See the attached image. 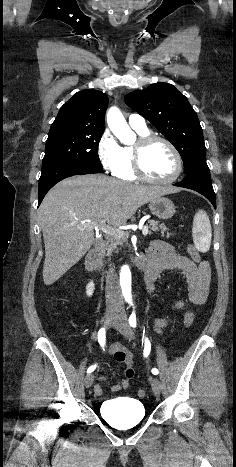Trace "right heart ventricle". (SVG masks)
<instances>
[{
	"label": "right heart ventricle",
	"mask_w": 236,
	"mask_h": 467,
	"mask_svg": "<svg viewBox=\"0 0 236 467\" xmlns=\"http://www.w3.org/2000/svg\"><path fill=\"white\" fill-rule=\"evenodd\" d=\"M135 130L140 136L149 135L148 130L146 131H141L137 129ZM122 148H123V162L121 166L114 172V174L116 175V177L123 179V180H128V181L136 180L137 176L133 169V148L132 147H122Z\"/></svg>",
	"instance_id": "e07e8e85"
}]
</instances>
